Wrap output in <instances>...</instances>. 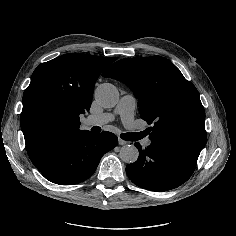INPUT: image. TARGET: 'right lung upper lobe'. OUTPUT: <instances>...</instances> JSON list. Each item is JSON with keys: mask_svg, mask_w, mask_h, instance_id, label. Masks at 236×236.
<instances>
[{"mask_svg": "<svg viewBox=\"0 0 236 236\" xmlns=\"http://www.w3.org/2000/svg\"><path fill=\"white\" fill-rule=\"evenodd\" d=\"M116 58L70 53L40 64L24 91L21 129L26 150L34 165L41 169L67 141L79 136V115L89 110L100 73ZM44 110L53 112L58 124L46 129L38 117Z\"/></svg>", "mask_w": 236, "mask_h": 236, "instance_id": "obj_1", "label": "right lung upper lobe"}]
</instances>
